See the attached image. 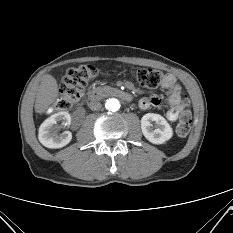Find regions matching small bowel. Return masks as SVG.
Listing matches in <instances>:
<instances>
[{
	"mask_svg": "<svg viewBox=\"0 0 233 233\" xmlns=\"http://www.w3.org/2000/svg\"><path fill=\"white\" fill-rule=\"evenodd\" d=\"M162 88L167 91V98H162L152 95L143 97L139 101L141 109H148L151 106L162 107L166 106V118L170 122L176 121L184 109V104L181 97V86L178 84L176 77L173 74H166L163 78Z\"/></svg>",
	"mask_w": 233,
	"mask_h": 233,
	"instance_id": "c3829d8e",
	"label": "small bowel"
}]
</instances>
